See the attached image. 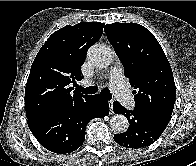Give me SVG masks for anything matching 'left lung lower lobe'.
Wrapping results in <instances>:
<instances>
[{
	"mask_svg": "<svg viewBox=\"0 0 196 166\" xmlns=\"http://www.w3.org/2000/svg\"><path fill=\"white\" fill-rule=\"evenodd\" d=\"M114 113H121L129 121L128 130L115 134L114 140L127 148H141L154 143L165 130L168 122L154 116L145 115L137 110H127L119 102L113 103Z\"/></svg>",
	"mask_w": 196,
	"mask_h": 166,
	"instance_id": "obj_1",
	"label": "left lung lower lobe"
}]
</instances>
